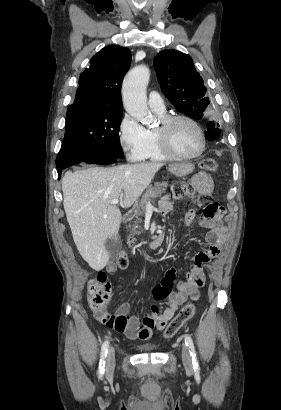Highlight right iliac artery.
I'll return each instance as SVG.
<instances>
[{
	"label": "right iliac artery",
	"mask_w": 281,
	"mask_h": 410,
	"mask_svg": "<svg viewBox=\"0 0 281 410\" xmlns=\"http://www.w3.org/2000/svg\"><path fill=\"white\" fill-rule=\"evenodd\" d=\"M108 346H109V342L105 341L102 345V348H101L99 371H98L100 378L102 377V375L104 374V371H105V359H106L107 352H108Z\"/></svg>",
	"instance_id": "1"
}]
</instances>
